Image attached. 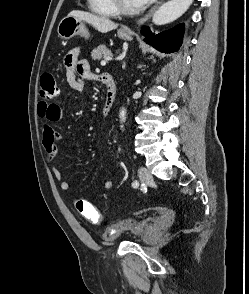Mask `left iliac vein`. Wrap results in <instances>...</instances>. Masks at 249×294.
Returning <instances> with one entry per match:
<instances>
[{"instance_id":"1","label":"left iliac vein","mask_w":249,"mask_h":294,"mask_svg":"<svg viewBox=\"0 0 249 294\" xmlns=\"http://www.w3.org/2000/svg\"><path fill=\"white\" fill-rule=\"evenodd\" d=\"M138 174L141 182L143 183L149 184L153 180L150 171L145 167H140L138 170Z\"/></svg>"}]
</instances>
